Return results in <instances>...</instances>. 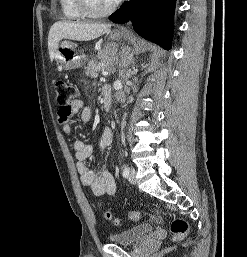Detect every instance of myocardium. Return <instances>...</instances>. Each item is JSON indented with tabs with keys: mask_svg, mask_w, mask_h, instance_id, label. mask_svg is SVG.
Here are the masks:
<instances>
[{
	"mask_svg": "<svg viewBox=\"0 0 247 257\" xmlns=\"http://www.w3.org/2000/svg\"><path fill=\"white\" fill-rule=\"evenodd\" d=\"M76 2L80 12L88 18H100L109 15L120 3V1H114L108 7L98 10L92 6L90 0H76Z\"/></svg>",
	"mask_w": 247,
	"mask_h": 257,
	"instance_id": "1",
	"label": "myocardium"
}]
</instances>
